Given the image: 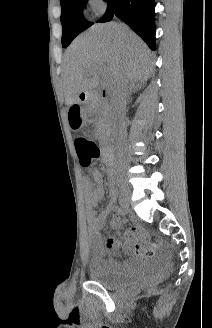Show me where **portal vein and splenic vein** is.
<instances>
[{
  "label": "portal vein and splenic vein",
  "instance_id": "18ae733b",
  "mask_svg": "<svg viewBox=\"0 0 212 328\" xmlns=\"http://www.w3.org/2000/svg\"><path fill=\"white\" fill-rule=\"evenodd\" d=\"M100 70H106V67H105V66H102V67L100 68Z\"/></svg>",
  "mask_w": 212,
  "mask_h": 328
}]
</instances>
